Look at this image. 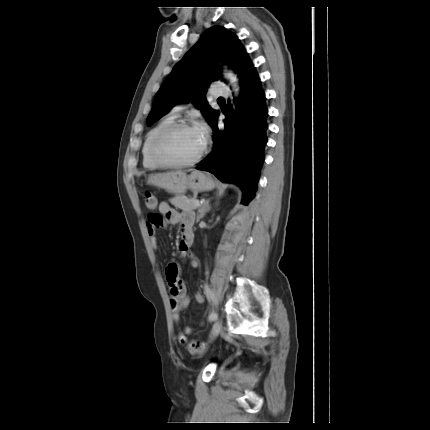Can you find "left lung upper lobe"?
<instances>
[{"mask_svg": "<svg viewBox=\"0 0 430 430\" xmlns=\"http://www.w3.org/2000/svg\"><path fill=\"white\" fill-rule=\"evenodd\" d=\"M229 64L240 80L255 70L238 38L222 26L206 30L199 41L174 66L156 94L153 108L147 118L150 126L179 102L194 101L210 122L218 111L211 109L205 99L206 85L220 75L217 63Z\"/></svg>", "mask_w": 430, "mask_h": 430, "instance_id": "5c2ea615", "label": "left lung upper lobe"}]
</instances>
